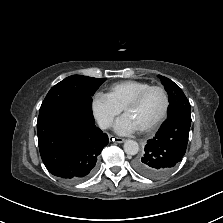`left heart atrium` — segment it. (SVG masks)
I'll list each match as a JSON object with an SVG mask.
<instances>
[{
  "label": "left heart atrium",
  "mask_w": 223,
  "mask_h": 223,
  "mask_svg": "<svg viewBox=\"0 0 223 223\" xmlns=\"http://www.w3.org/2000/svg\"><path fill=\"white\" fill-rule=\"evenodd\" d=\"M114 130L118 134L129 135L136 132L138 128L127 115H123L116 121L114 125Z\"/></svg>",
  "instance_id": "1"
}]
</instances>
